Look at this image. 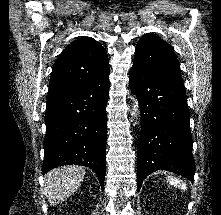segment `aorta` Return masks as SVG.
<instances>
[{"label":"aorta","instance_id":"762f6f07","mask_svg":"<svg viewBox=\"0 0 221 215\" xmlns=\"http://www.w3.org/2000/svg\"><path fill=\"white\" fill-rule=\"evenodd\" d=\"M138 110V103L137 101L135 100V105H134V111L136 112ZM135 114V113H134Z\"/></svg>","mask_w":221,"mask_h":215}]
</instances>
